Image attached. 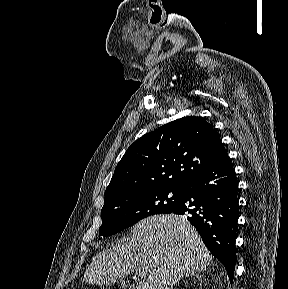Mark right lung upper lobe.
Returning a JSON list of instances; mask_svg holds the SVG:
<instances>
[{
    "instance_id": "1",
    "label": "right lung upper lobe",
    "mask_w": 288,
    "mask_h": 289,
    "mask_svg": "<svg viewBox=\"0 0 288 289\" xmlns=\"http://www.w3.org/2000/svg\"><path fill=\"white\" fill-rule=\"evenodd\" d=\"M226 153L204 118L184 117L135 141L115 168L105 198L152 188H182Z\"/></svg>"
}]
</instances>
